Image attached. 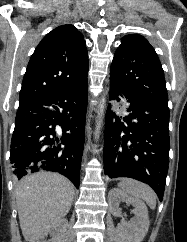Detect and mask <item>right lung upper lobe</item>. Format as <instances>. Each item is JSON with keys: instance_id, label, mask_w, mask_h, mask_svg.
I'll return each mask as SVG.
<instances>
[{"instance_id": "1", "label": "right lung upper lobe", "mask_w": 187, "mask_h": 242, "mask_svg": "<svg viewBox=\"0 0 187 242\" xmlns=\"http://www.w3.org/2000/svg\"><path fill=\"white\" fill-rule=\"evenodd\" d=\"M88 65L82 33L73 25L57 27L43 38L30 58L19 104L84 82Z\"/></svg>"}]
</instances>
